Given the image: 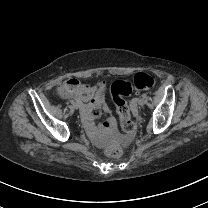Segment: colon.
<instances>
[{
	"instance_id": "1",
	"label": "colon",
	"mask_w": 208,
	"mask_h": 208,
	"mask_svg": "<svg viewBox=\"0 0 208 208\" xmlns=\"http://www.w3.org/2000/svg\"><path fill=\"white\" fill-rule=\"evenodd\" d=\"M154 83L153 77L145 73H137L132 80H116L112 83L111 97L121 125L126 133L135 131V124L130 117L127 98L134 90L147 91L151 89ZM104 154L109 159H116L121 154V147L116 142H109L104 147Z\"/></svg>"
}]
</instances>
